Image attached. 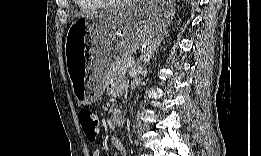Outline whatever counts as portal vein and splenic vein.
I'll list each match as a JSON object with an SVG mask.
<instances>
[{
	"mask_svg": "<svg viewBox=\"0 0 261 156\" xmlns=\"http://www.w3.org/2000/svg\"><path fill=\"white\" fill-rule=\"evenodd\" d=\"M135 63H136V62H135L133 59H131V60H129V61L126 63V67H127V68H128V67H131V66H133Z\"/></svg>",
	"mask_w": 261,
	"mask_h": 156,
	"instance_id": "1",
	"label": "portal vein and splenic vein"
}]
</instances>
